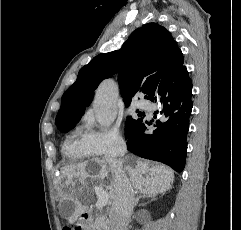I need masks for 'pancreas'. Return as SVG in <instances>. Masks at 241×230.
<instances>
[{
  "mask_svg": "<svg viewBox=\"0 0 241 230\" xmlns=\"http://www.w3.org/2000/svg\"><path fill=\"white\" fill-rule=\"evenodd\" d=\"M90 230H109L108 220L105 216L96 214L90 223Z\"/></svg>",
  "mask_w": 241,
  "mask_h": 230,
  "instance_id": "cf45deb5",
  "label": "pancreas"
}]
</instances>
